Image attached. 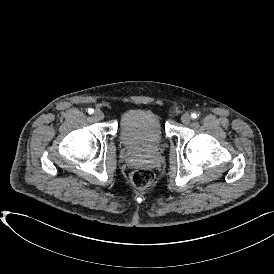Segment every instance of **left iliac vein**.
I'll use <instances>...</instances> for the list:
<instances>
[{
    "mask_svg": "<svg viewBox=\"0 0 274 274\" xmlns=\"http://www.w3.org/2000/svg\"><path fill=\"white\" fill-rule=\"evenodd\" d=\"M191 115L188 114V113H184L182 116H181V121L184 123V124H189L190 121H191Z\"/></svg>",
    "mask_w": 274,
    "mask_h": 274,
    "instance_id": "left-iliac-vein-1",
    "label": "left iliac vein"
}]
</instances>
